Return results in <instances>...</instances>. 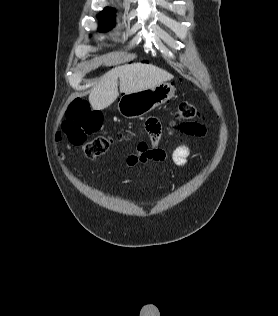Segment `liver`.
I'll list each match as a JSON object with an SVG mask.
<instances>
[{
	"label": "liver",
	"instance_id": "obj_1",
	"mask_svg": "<svg viewBox=\"0 0 278 316\" xmlns=\"http://www.w3.org/2000/svg\"><path fill=\"white\" fill-rule=\"evenodd\" d=\"M118 78L121 93H136L169 81L173 76L151 64H125L107 72L89 94L93 109L102 110L110 106L119 96Z\"/></svg>",
	"mask_w": 278,
	"mask_h": 316
}]
</instances>
